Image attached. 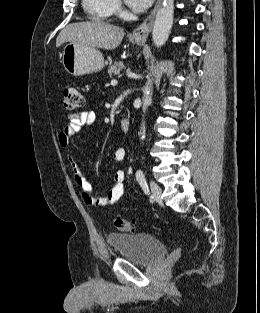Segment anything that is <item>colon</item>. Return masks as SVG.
<instances>
[{
  "label": "colon",
  "mask_w": 260,
  "mask_h": 313,
  "mask_svg": "<svg viewBox=\"0 0 260 313\" xmlns=\"http://www.w3.org/2000/svg\"><path fill=\"white\" fill-rule=\"evenodd\" d=\"M63 101L66 109L75 110L84 105V97L79 89L73 84H65L63 86ZM114 226L122 233H129L135 231V224L126 219H115Z\"/></svg>",
  "instance_id": "colon-1"
}]
</instances>
